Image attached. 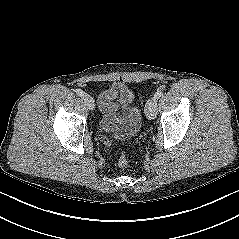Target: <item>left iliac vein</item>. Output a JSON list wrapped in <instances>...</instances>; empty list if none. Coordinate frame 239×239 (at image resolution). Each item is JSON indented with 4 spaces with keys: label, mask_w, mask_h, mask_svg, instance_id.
<instances>
[{
    "label": "left iliac vein",
    "mask_w": 239,
    "mask_h": 239,
    "mask_svg": "<svg viewBox=\"0 0 239 239\" xmlns=\"http://www.w3.org/2000/svg\"><path fill=\"white\" fill-rule=\"evenodd\" d=\"M145 114L148 119L152 120L157 115V100L153 97L150 98L145 106Z\"/></svg>",
    "instance_id": "left-iliac-vein-1"
}]
</instances>
